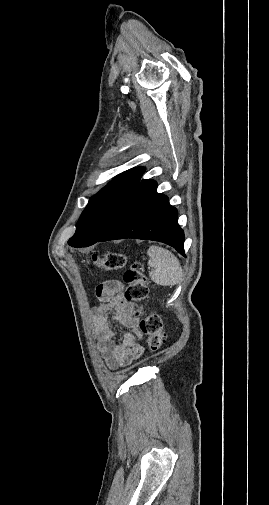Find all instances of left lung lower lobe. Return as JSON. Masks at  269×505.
Segmentation results:
<instances>
[{
	"label": "left lung lower lobe",
	"instance_id": "0a47b994",
	"mask_svg": "<svg viewBox=\"0 0 269 505\" xmlns=\"http://www.w3.org/2000/svg\"><path fill=\"white\" fill-rule=\"evenodd\" d=\"M156 188L155 181L141 180L110 229L97 242L123 238L154 240L174 247L185 256L184 233L178 224L177 210Z\"/></svg>",
	"mask_w": 269,
	"mask_h": 505
}]
</instances>
